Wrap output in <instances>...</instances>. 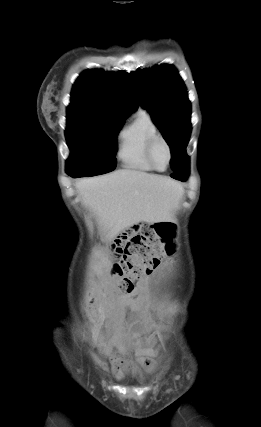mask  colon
<instances>
[{
	"label": "colon",
	"instance_id": "obj_1",
	"mask_svg": "<svg viewBox=\"0 0 261 427\" xmlns=\"http://www.w3.org/2000/svg\"><path fill=\"white\" fill-rule=\"evenodd\" d=\"M172 227L166 223H156L144 226L140 233L132 237L122 250V260L114 267V274L120 277L119 289L123 293L133 290L134 281L141 272L154 267L159 259V254L150 248V244L158 239L169 240L172 236ZM172 247L167 245L166 251ZM139 255L141 260L137 264L132 258Z\"/></svg>",
	"mask_w": 261,
	"mask_h": 427
}]
</instances>
